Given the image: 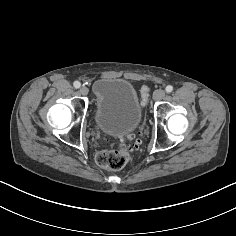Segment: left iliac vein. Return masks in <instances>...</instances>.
Instances as JSON below:
<instances>
[{"instance_id":"obj_1","label":"left iliac vein","mask_w":236,"mask_h":236,"mask_svg":"<svg viewBox=\"0 0 236 236\" xmlns=\"http://www.w3.org/2000/svg\"><path fill=\"white\" fill-rule=\"evenodd\" d=\"M164 97H165V91L162 89H157L153 94V99L155 101H160L164 99Z\"/></svg>"}]
</instances>
